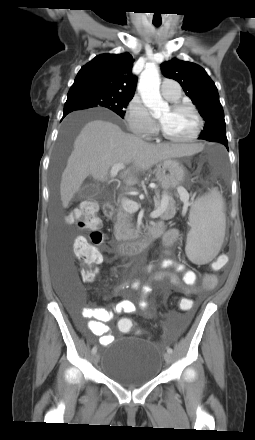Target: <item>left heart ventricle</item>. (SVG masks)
Segmentation results:
<instances>
[{"label": "left heart ventricle", "instance_id": "left-heart-ventricle-1", "mask_svg": "<svg viewBox=\"0 0 255 440\" xmlns=\"http://www.w3.org/2000/svg\"><path fill=\"white\" fill-rule=\"evenodd\" d=\"M162 128L172 137L185 139L191 136L197 126L194 115L185 109L173 111L167 109L158 117Z\"/></svg>", "mask_w": 255, "mask_h": 440}]
</instances>
